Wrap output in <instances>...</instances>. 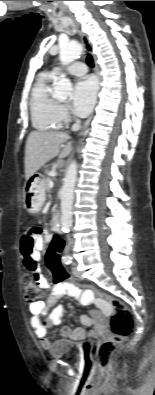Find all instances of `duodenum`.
<instances>
[{"label": "duodenum", "instance_id": "1", "mask_svg": "<svg viewBox=\"0 0 155 395\" xmlns=\"http://www.w3.org/2000/svg\"><path fill=\"white\" fill-rule=\"evenodd\" d=\"M52 226L57 233H61V216L59 214L53 216Z\"/></svg>", "mask_w": 155, "mask_h": 395}]
</instances>
